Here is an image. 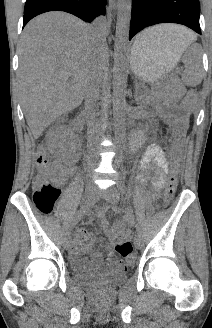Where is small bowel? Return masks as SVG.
I'll return each mask as SVG.
<instances>
[{"label":"small bowel","instance_id":"small-bowel-1","mask_svg":"<svg viewBox=\"0 0 212 328\" xmlns=\"http://www.w3.org/2000/svg\"><path fill=\"white\" fill-rule=\"evenodd\" d=\"M152 166V183L154 188L159 191L166 183V174L170 172V165L164 152L158 146H149L145 149L139 160V169L141 173L139 179L144 182L149 179L150 174L148 168ZM77 169L74 166H63L59 163H54L52 167V179L61 182L69 176L75 175ZM131 222V216L127 215L123 221H117L112 227H109L108 222L103 214L99 217V223L105 229L106 239L108 242H113L117 237L128 239L131 236V230L126 226ZM94 239L91 233L81 229L78 231L76 239L72 247V255L74 258L82 257L86 253H91L92 268L97 273H112L125 270L124 265L117 256L110 251L107 243L103 242L104 248L108 251V263L104 262L100 252L93 251Z\"/></svg>","mask_w":212,"mask_h":328}]
</instances>
